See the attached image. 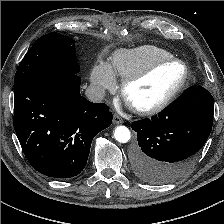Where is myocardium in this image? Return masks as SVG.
<instances>
[{
    "instance_id": "obj_1",
    "label": "myocardium",
    "mask_w": 224,
    "mask_h": 224,
    "mask_svg": "<svg viewBox=\"0 0 224 224\" xmlns=\"http://www.w3.org/2000/svg\"><path fill=\"white\" fill-rule=\"evenodd\" d=\"M170 63H178L183 67V71H184L183 77H182L181 81L178 83V85L162 101H160L159 103H157L151 107L141 108V107H137V106L133 105L130 102V99L128 96V90H129L130 86L132 84L148 77L150 74H152L158 68H160L164 65L170 64ZM188 80H189V68L185 64V62H183L182 60L175 58V57H169V58L156 60V61L152 62L151 64H149L148 66H146L145 68H143L142 70H140L139 72L126 77L123 80V83L121 86V93H122L124 100L136 113H138L140 115H154V114H157V113L163 111L164 109H166L177 98V96L185 88Z\"/></svg>"
}]
</instances>
